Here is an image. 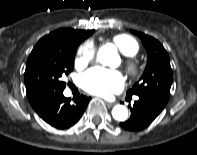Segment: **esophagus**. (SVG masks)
Instances as JSON below:
<instances>
[{
	"label": "esophagus",
	"mask_w": 197,
	"mask_h": 155,
	"mask_svg": "<svg viewBox=\"0 0 197 155\" xmlns=\"http://www.w3.org/2000/svg\"><path fill=\"white\" fill-rule=\"evenodd\" d=\"M106 104H107L108 106H113L115 103H114V102H110V101H106Z\"/></svg>",
	"instance_id": "esophagus-1"
}]
</instances>
